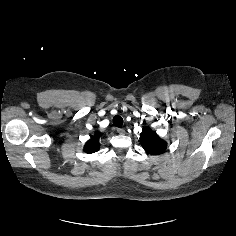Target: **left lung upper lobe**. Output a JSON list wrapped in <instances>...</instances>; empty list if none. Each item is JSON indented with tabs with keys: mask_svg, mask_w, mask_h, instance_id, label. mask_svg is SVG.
<instances>
[{
	"mask_svg": "<svg viewBox=\"0 0 236 236\" xmlns=\"http://www.w3.org/2000/svg\"><path fill=\"white\" fill-rule=\"evenodd\" d=\"M140 143L145 151L152 155L164 152L167 146V143L148 127L143 128Z\"/></svg>",
	"mask_w": 236,
	"mask_h": 236,
	"instance_id": "5c2ea615",
	"label": "left lung upper lobe"
}]
</instances>
